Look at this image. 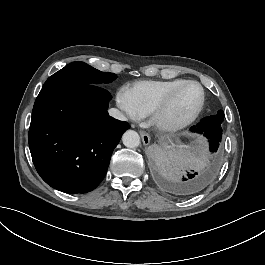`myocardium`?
Returning <instances> with one entry per match:
<instances>
[{"label": "myocardium", "mask_w": 265, "mask_h": 265, "mask_svg": "<svg viewBox=\"0 0 265 265\" xmlns=\"http://www.w3.org/2000/svg\"><path fill=\"white\" fill-rule=\"evenodd\" d=\"M194 83L197 84L201 89V99L198 106L188 115L176 122H169L165 119V115L174 105L180 92L185 85ZM207 100L206 90L204 85L196 79H185L180 84H178L174 90L168 95V97L156 106V108L151 113V125L154 130L161 134H176L181 132L189 125H191L198 116L202 113Z\"/></svg>", "instance_id": "myocardium-1"}]
</instances>
